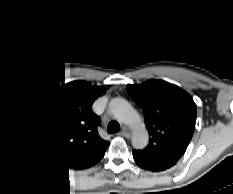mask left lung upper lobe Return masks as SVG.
Instances as JSON below:
<instances>
[{"label": "left lung upper lobe", "mask_w": 233, "mask_h": 194, "mask_svg": "<svg viewBox=\"0 0 233 194\" xmlns=\"http://www.w3.org/2000/svg\"><path fill=\"white\" fill-rule=\"evenodd\" d=\"M142 108L149 132V145L139 150L153 158L177 161L186 151L196 123V104L180 87L161 80L127 85Z\"/></svg>", "instance_id": "left-lung-upper-lobe-1"}]
</instances>
